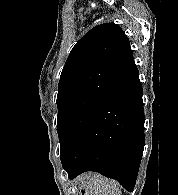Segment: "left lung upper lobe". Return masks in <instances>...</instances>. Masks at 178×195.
<instances>
[{"label":"left lung upper lobe","mask_w":178,"mask_h":195,"mask_svg":"<svg viewBox=\"0 0 178 195\" xmlns=\"http://www.w3.org/2000/svg\"><path fill=\"white\" fill-rule=\"evenodd\" d=\"M137 74L129 39L117 24L98 25L76 43L58 85L60 154Z\"/></svg>","instance_id":"left-lung-upper-lobe-1"}]
</instances>
